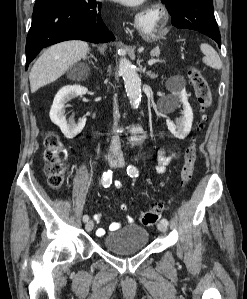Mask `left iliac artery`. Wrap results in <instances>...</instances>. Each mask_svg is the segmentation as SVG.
Listing matches in <instances>:
<instances>
[{
	"mask_svg": "<svg viewBox=\"0 0 247 299\" xmlns=\"http://www.w3.org/2000/svg\"><path fill=\"white\" fill-rule=\"evenodd\" d=\"M127 174L131 177H137L138 176V169L134 165H129L127 167ZM161 222L168 225V220L166 218H163L161 220Z\"/></svg>",
	"mask_w": 247,
	"mask_h": 299,
	"instance_id": "obj_1",
	"label": "left iliac artery"
}]
</instances>
